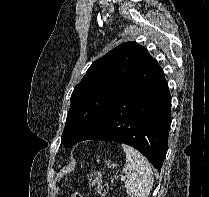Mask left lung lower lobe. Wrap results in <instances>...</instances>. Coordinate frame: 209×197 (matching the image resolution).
<instances>
[{
  "mask_svg": "<svg viewBox=\"0 0 209 197\" xmlns=\"http://www.w3.org/2000/svg\"><path fill=\"white\" fill-rule=\"evenodd\" d=\"M170 111L168 83L162 68L155 63L80 141L105 140L130 145L160 172L168 147Z\"/></svg>",
  "mask_w": 209,
  "mask_h": 197,
  "instance_id": "1",
  "label": "left lung lower lobe"
}]
</instances>
